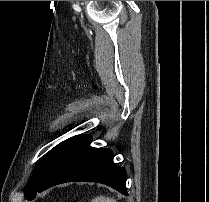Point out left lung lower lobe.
I'll list each match as a JSON object with an SVG mask.
<instances>
[{"instance_id":"obj_1","label":"left lung lower lobe","mask_w":209,"mask_h":202,"mask_svg":"<svg viewBox=\"0 0 209 202\" xmlns=\"http://www.w3.org/2000/svg\"><path fill=\"white\" fill-rule=\"evenodd\" d=\"M88 135L71 137L59 149L42 183L27 197L33 200L37 192L66 182H96L108 185L124 195L127 173L113 162L110 149L93 148Z\"/></svg>"}]
</instances>
